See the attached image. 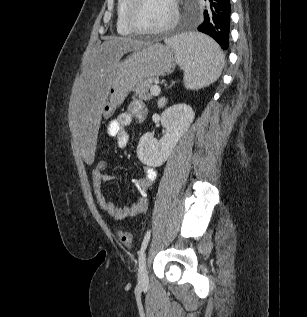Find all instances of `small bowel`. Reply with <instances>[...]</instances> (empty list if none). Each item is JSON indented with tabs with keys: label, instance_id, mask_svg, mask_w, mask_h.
<instances>
[{
	"label": "small bowel",
	"instance_id": "1",
	"mask_svg": "<svg viewBox=\"0 0 307 317\" xmlns=\"http://www.w3.org/2000/svg\"><path fill=\"white\" fill-rule=\"evenodd\" d=\"M145 117L146 108L144 104L140 101H133L130 103L126 112L121 113L117 118L108 122L107 133L109 136L116 138L119 147L124 148L129 142V135L125 131V127L129 126L134 118L138 121H142ZM156 177L157 172L153 167H143L142 176L133 180V184L138 191L136 201L129 206L118 207L105 196L102 189V185L112 181L114 176L109 173L98 172L94 169L91 172L93 190L99 207L110 217L118 221L143 214L147 211V191L154 183Z\"/></svg>",
	"mask_w": 307,
	"mask_h": 317
}]
</instances>
